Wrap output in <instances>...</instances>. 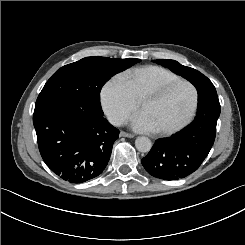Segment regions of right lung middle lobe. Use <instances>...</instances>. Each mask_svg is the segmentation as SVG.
Masks as SVG:
<instances>
[{
	"mask_svg": "<svg viewBox=\"0 0 245 245\" xmlns=\"http://www.w3.org/2000/svg\"><path fill=\"white\" fill-rule=\"evenodd\" d=\"M139 59L86 57L58 69L39 94L35 109L49 105H73L94 116H103L100 91L115 73L123 71Z\"/></svg>",
	"mask_w": 245,
	"mask_h": 245,
	"instance_id": "right-lung-middle-lobe-1",
	"label": "right lung middle lobe"
}]
</instances>
